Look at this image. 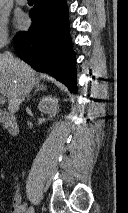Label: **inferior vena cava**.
Segmentation results:
<instances>
[{"mask_svg":"<svg viewBox=\"0 0 128 213\" xmlns=\"http://www.w3.org/2000/svg\"><path fill=\"white\" fill-rule=\"evenodd\" d=\"M8 43H9V41L6 39L3 44L6 45ZM5 55L8 57L9 61L14 62V58L10 52L6 51Z\"/></svg>","mask_w":128,"mask_h":213,"instance_id":"1","label":"inferior vena cava"}]
</instances>
